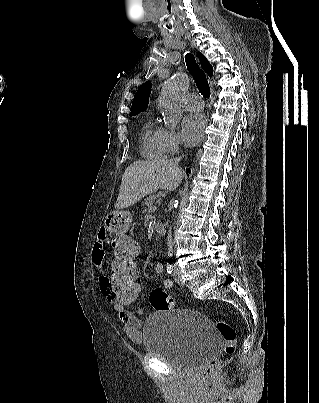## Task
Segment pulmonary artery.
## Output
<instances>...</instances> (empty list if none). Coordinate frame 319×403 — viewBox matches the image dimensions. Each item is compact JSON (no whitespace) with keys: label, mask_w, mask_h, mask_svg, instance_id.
<instances>
[{"label":"pulmonary artery","mask_w":319,"mask_h":403,"mask_svg":"<svg viewBox=\"0 0 319 403\" xmlns=\"http://www.w3.org/2000/svg\"><path fill=\"white\" fill-rule=\"evenodd\" d=\"M185 106L193 111H199L203 108V100L195 93L188 94L185 98Z\"/></svg>","instance_id":"1"}]
</instances>
